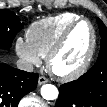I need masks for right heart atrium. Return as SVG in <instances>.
<instances>
[{"instance_id": "1", "label": "right heart atrium", "mask_w": 107, "mask_h": 107, "mask_svg": "<svg viewBox=\"0 0 107 107\" xmlns=\"http://www.w3.org/2000/svg\"><path fill=\"white\" fill-rule=\"evenodd\" d=\"M15 51L28 66L40 65L41 56L30 45L27 39L21 37L17 38L15 41Z\"/></svg>"}]
</instances>
